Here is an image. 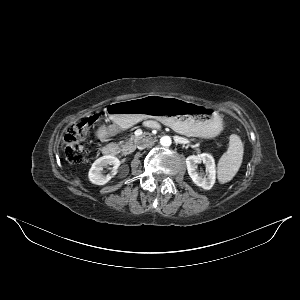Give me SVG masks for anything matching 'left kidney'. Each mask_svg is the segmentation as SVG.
I'll use <instances>...</instances> for the list:
<instances>
[{
    "label": "left kidney",
    "instance_id": "5707ae66",
    "mask_svg": "<svg viewBox=\"0 0 300 300\" xmlns=\"http://www.w3.org/2000/svg\"><path fill=\"white\" fill-rule=\"evenodd\" d=\"M201 162H203L206 167L205 176L200 175L196 171L197 164ZM186 165L189 176L197 186L202 187L205 190H209L213 187L216 179V166L212 155L208 153L191 155L186 158Z\"/></svg>",
    "mask_w": 300,
    "mask_h": 300
}]
</instances>
